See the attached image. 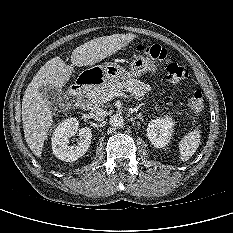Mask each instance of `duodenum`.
I'll return each instance as SVG.
<instances>
[{
    "instance_id": "1",
    "label": "duodenum",
    "mask_w": 233,
    "mask_h": 233,
    "mask_svg": "<svg viewBox=\"0 0 233 233\" xmlns=\"http://www.w3.org/2000/svg\"><path fill=\"white\" fill-rule=\"evenodd\" d=\"M100 77L98 75L86 74L80 76L75 83L70 87V94L72 96H79L83 91L92 84L98 83Z\"/></svg>"
}]
</instances>
